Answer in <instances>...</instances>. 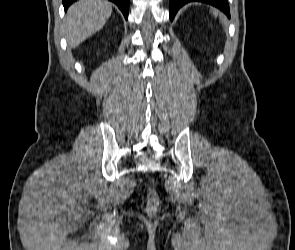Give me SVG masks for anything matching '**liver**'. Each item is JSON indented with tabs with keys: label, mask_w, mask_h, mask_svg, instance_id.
I'll use <instances>...</instances> for the list:
<instances>
[{
	"label": "liver",
	"mask_w": 295,
	"mask_h": 250,
	"mask_svg": "<svg viewBox=\"0 0 295 250\" xmlns=\"http://www.w3.org/2000/svg\"><path fill=\"white\" fill-rule=\"evenodd\" d=\"M112 13V5L102 0H80L67 11L65 31L70 48L98 32Z\"/></svg>",
	"instance_id": "1"
}]
</instances>
